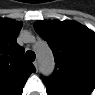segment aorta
Instances as JSON below:
<instances>
[{
	"instance_id": "762f6f07",
	"label": "aorta",
	"mask_w": 95,
	"mask_h": 95,
	"mask_svg": "<svg viewBox=\"0 0 95 95\" xmlns=\"http://www.w3.org/2000/svg\"><path fill=\"white\" fill-rule=\"evenodd\" d=\"M34 50L38 60V68L42 75L49 76L53 73L55 62L53 53L44 41L38 42L34 46Z\"/></svg>"
}]
</instances>
